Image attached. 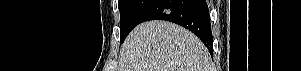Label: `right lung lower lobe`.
Here are the masks:
<instances>
[{"mask_svg": "<svg viewBox=\"0 0 301 71\" xmlns=\"http://www.w3.org/2000/svg\"><path fill=\"white\" fill-rule=\"evenodd\" d=\"M155 19L171 21L189 29L213 54L210 15L205 0H156L143 14L140 23Z\"/></svg>", "mask_w": 301, "mask_h": 71, "instance_id": "right-lung-lower-lobe-1", "label": "right lung lower lobe"}]
</instances>
